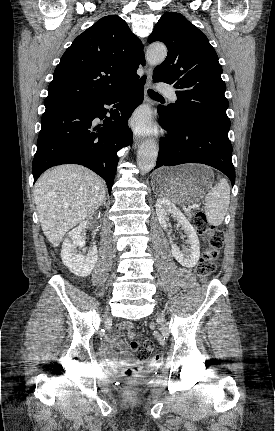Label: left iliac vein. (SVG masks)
<instances>
[{"label":"left iliac vein","mask_w":275,"mask_h":431,"mask_svg":"<svg viewBox=\"0 0 275 431\" xmlns=\"http://www.w3.org/2000/svg\"><path fill=\"white\" fill-rule=\"evenodd\" d=\"M157 322L162 335L167 337L169 331L165 322V318L162 314H157Z\"/></svg>","instance_id":"obj_1"}]
</instances>
